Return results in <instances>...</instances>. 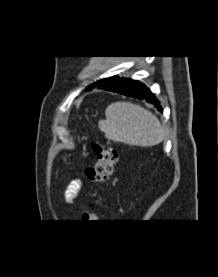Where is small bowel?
Returning <instances> with one entry per match:
<instances>
[{
	"mask_svg": "<svg viewBox=\"0 0 218 277\" xmlns=\"http://www.w3.org/2000/svg\"><path fill=\"white\" fill-rule=\"evenodd\" d=\"M81 188H82V181L80 179L72 180L65 191L66 203L68 204L75 203Z\"/></svg>",
	"mask_w": 218,
	"mask_h": 277,
	"instance_id": "1",
	"label": "small bowel"
}]
</instances>
